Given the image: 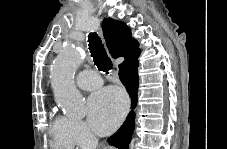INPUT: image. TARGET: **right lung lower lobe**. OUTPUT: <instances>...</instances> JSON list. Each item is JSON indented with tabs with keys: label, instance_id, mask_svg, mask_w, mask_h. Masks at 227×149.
Returning a JSON list of instances; mask_svg holds the SVG:
<instances>
[{
	"label": "right lung lower lobe",
	"instance_id": "right-lung-lower-lobe-1",
	"mask_svg": "<svg viewBox=\"0 0 227 149\" xmlns=\"http://www.w3.org/2000/svg\"><path fill=\"white\" fill-rule=\"evenodd\" d=\"M138 61L134 60L119 67V78L124 84L129 96L131 97V108L137 105L138 90ZM135 127V112L131 111L120 129L108 138V143L119 149L128 148Z\"/></svg>",
	"mask_w": 227,
	"mask_h": 149
}]
</instances>
